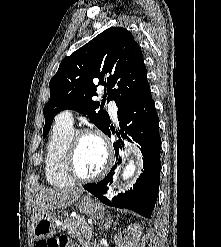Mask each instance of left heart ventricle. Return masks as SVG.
Instances as JSON below:
<instances>
[{
  "mask_svg": "<svg viewBox=\"0 0 221 247\" xmlns=\"http://www.w3.org/2000/svg\"><path fill=\"white\" fill-rule=\"evenodd\" d=\"M105 150L94 136H84L79 142L76 154V165L83 176L97 174L105 164Z\"/></svg>",
  "mask_w": 221,
  "mask_h": 247,
  "instance_id": "left-heart-ventricle-1",
  "label": "left heart ventricle"
}]
</instances>
